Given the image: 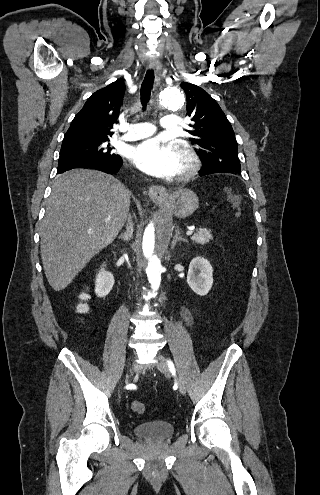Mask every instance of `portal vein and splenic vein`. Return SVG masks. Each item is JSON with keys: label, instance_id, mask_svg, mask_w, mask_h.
Wrapping results in <instances>:
<instances>
[{"label": "portal vein and splenic vein", "instance_id": "1", "mask_svg": "<svg viewBox=\"0 0 320 495\" xmlns=\"http://www.w3.org/2000/svg\"><path fill=\"white\" fill-rule=\"evenodd\" d=\"M192 233H193V231L188 230V231L186 232V235H192Z\"/></svg>", "mask_w": 320, "mask_h": 495}]
</instances>
